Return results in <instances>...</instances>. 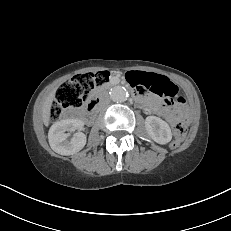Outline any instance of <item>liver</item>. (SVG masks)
I'll use <instances>...</instances> for the list:
<instances>
[{
    "mask_svg": "<svg viewBox=\"0 0 231 231\" xmlns=\"http://www.w3.org/2000/svg\"><path fill=\"white\" fill-rule=\"evenodd\" d=\"M55 98V89L47 96L43 107H42V118L43 123L48 126L50 121V115H51V106L52 102Z\"/></svg>",
    "mask_w": 231,
    "mask_h": 231,
    "instance_id": "1",
    "label": "liver"
}]
</instances>
